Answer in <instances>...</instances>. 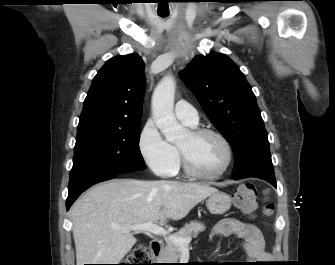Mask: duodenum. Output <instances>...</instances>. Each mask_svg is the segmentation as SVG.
I'll return each mask as SVG.
<instances>
[{"label":"duodenum","instance_id":"obj_1","mask_svg":"<svg viewBox=\"0 0 335 265\" xmlns=\"http://www.w3.org/2000/svg\"><path fill=\"white\" fill-rule=\"evenodd\" d=\"M162 249H163V241L162 240L154 239L150 243V252H151V256L154 260H156L157 257L160 255Z\"/></svg>","mask_w":335,"mask_h":265}]
</instances>
